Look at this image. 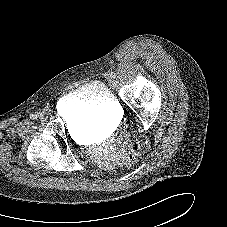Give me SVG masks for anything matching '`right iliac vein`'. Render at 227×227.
I'll return each instance as SVG.
<instances>
[{"instance_id":"1","label":"right iliac vein","mask_w":227,"mask_h":227,"mask_svg":"<svg viewBox=\"0 0 227 227\" xmlns=\"http://www.w3.org/2000/svg\"><path fill=\"white\" fill-rule=\"evenodd\" d=\"M39 118H40V119H43V118H44V114L40 113V114H39Z\"/></svg>"}]
</instances>
